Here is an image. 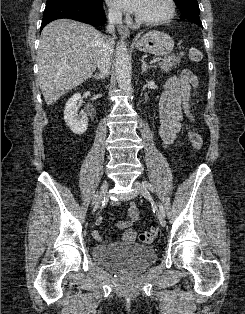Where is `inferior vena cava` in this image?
Masks as SVG:
<instances>
[{"mask_svg": "<svg viewBox=\"0 0 245 314\" xmlns=\"http://www.w3.org/2000/svg\"><path fill=\"white\" fill-rule=\"evenodd\" d=\"M122 22V14L119 11H110L108 13L107 32L112 33V37H105L99 52L98 69L103 77L110 73L111 57L114 51L115 25Z\"/></svg>", "mask_w": 245, "mask_h": 314, "instance_id": "1", "label": "inferior vena cava"}]
</instances>
